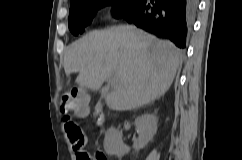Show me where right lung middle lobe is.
I'll use <instances>...</instances> for the list:
<instances>
[{"label": "right lung middle lobe", "instance_id": "obj_1", "mask_svg": "<svg viewBox=\"0 0 242 160\" xmlns=\"http://www.w3.org/2000/svg\"><path fill=\"white\" fill-rule=\"evenodd\" d=\"M140 0H81L70 5L69 29L74 35L83 33L98 9L113 5V16L121 18Z\"/></svg>", "mask_w": 242, "mask_h": 160}]
</instances>
